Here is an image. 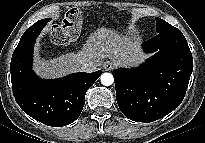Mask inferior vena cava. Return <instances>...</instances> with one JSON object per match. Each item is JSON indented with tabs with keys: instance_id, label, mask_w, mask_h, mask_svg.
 <instances>
[{
	"instance_id": "obj_1",
	"label": "inferior vena cava",
	"mask_w": 205,
	"mask_h": 143,
	"mask_svg": "<svg viewBox=\"0 0 205 143\" xmlns=\"http://www.w3.org/2000/svg\"><path fill=\"white\" fill-rule=\"evenodd\" d=\"M96 69L97 65L90 60H84L81 62V71L83 72H94Z\"/></svg>"
}]
</instances>
